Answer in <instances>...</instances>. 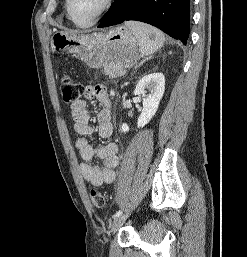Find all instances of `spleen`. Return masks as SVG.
Masks as SVG:
<instances>
[{"label": "spleen", "mask_w": 247, "mask_h": 257, "mask_svg": "<svg viewBox=\"0 0 247 257\" xmlns=\"http://www.w3.org/2000/svg\"><path fill=\"white\" fill-rule=\"evenodd\" d=\"M125 26L128 27L135 36L139 51L142 55H150L164 45L165 36L157 28L136 21H127Z\"/></svg>", "instance_id": "obj_1"}]
</instances>
